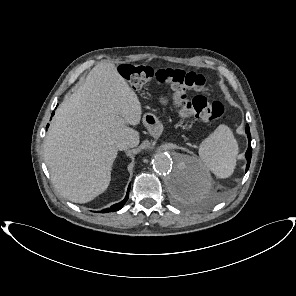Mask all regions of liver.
Masks as SVG:
<instances>
[{
	"label": "liver",
	"mask_w": 296,
	"mask_h": 296,
	"mask_svg": "<svg viewBox=\"0 0 296 296\" xmlns=\"http://www.w3.org/2000/svg\"><path fill=\"white\" fill-rule=\"evenodd\" d=\"M142 106L112 63L100 62L82 85L58 107L47 132L44 158L56 190L75 203H87L103 193L117 157L116 143L134 146Z\"/></svg>",
	"instance_id": "liver-1"
}]
</instances>
